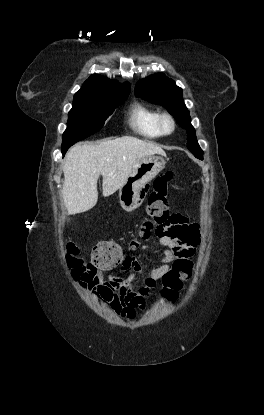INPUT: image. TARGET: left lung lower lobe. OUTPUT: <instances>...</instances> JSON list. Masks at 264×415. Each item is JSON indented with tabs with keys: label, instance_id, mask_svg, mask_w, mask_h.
Here are the masks:
<instances>
[{
	"label": "left lung lower lobe",
	"instance_id": "1",
	"mask_svg": "<svg viewBox=\"0 0 264 415\" xmlns=\"http://www.w3.org/2000/svg\"><path fill=\"white\" fill-rule=\"evenodd\" d=\"M197 158H199V159H203V156H200V157H197Z\"/></svg>",
	"mask_w": 264,
	"mask_h": 415
}]
</instances>
